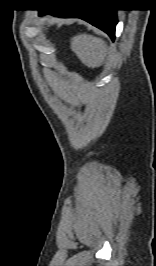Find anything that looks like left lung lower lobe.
Returning <instances> with one entry per match:
<instances>
[{
	"label": "left lung lower lobe",
	"mask_w": 156,
	"mask_h": 266,
	"mask_svg": "<svg viewBox=\"0 0 156 266\" xmlns=\"http://www.w3.org/2000/svg\"><path fill=\"white\" fill-rule=\"evenodd\" d=\"M45 12H52L55 16L72 18H81L99 29L105 31L111 38H115V27L117 16L115 9L109 8H91V9H56V10H39L42 15Z\"/></svg>",
	"instance_id": "obj_1"
}]
</instances>
